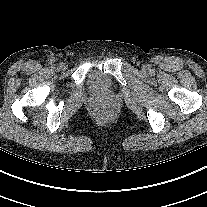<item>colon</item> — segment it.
<instances>
[{
    "label": "colon",
    "mask_w": 207,
    "mask_h": 207,
    "mask_svg": "<svg viewBox=\"0 0 207 207\" xmlns=\"http://www.w3.org/2000/svg\"><path fill=\"white\" fill-rule=\"evenodd\" d=\"M98 114L104 117H109L111 116V111L107 110V109H100L98 110Z\"/></svg>",
    "instance_id": "1"
}]
</instances>
